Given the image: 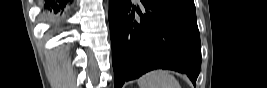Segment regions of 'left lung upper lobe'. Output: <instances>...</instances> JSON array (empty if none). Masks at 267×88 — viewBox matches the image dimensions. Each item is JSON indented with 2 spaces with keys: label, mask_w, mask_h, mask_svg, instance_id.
<instances>
[{
  "label": "left lung upper lobe",
  "mask_w": 267,
  "mask_h": 88,
  "mask_svg": "<svg viewBox=\"0 0 267 88\" xmlns=\"http://www.w3.org/2000/svg\"><path fill=\"white\" fill-rule=\"evenodd\" d=\"M161 1L195 11V5L193 0H161Z\"/></svg>",
  "instance_id": "left-lung-upper-lobe-1"
}]
</instances>
